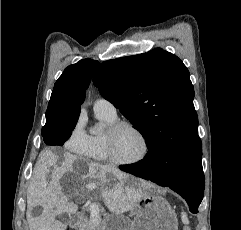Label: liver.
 I'll return each mask as SVG.
<instances>
[{
	"label": "liver",
	"mask_w": 241,
	"mask_h": 230,
	"mask_svg": "<svg viewBox=\"0 0 241 230\" xmlns=\"http://www.w3.org/2000/svg\"><path fill=\"white\" fill-rule=\"evenodd\" d=\"M45 165L33 176L27 190L26 217L30 230H65L66 225L56 221L55 216L61 213H76L77 205L69 202V198L76 196L85 188L92 190L101 186L100 192L106 207L115 214H122L136 207L145 195L143 185L136 181L127 182V175L116 168L97 163H87V172L80 175L75 162L80 160L76 155L64 153L63 160L48 153L43 157ZM48 164L51 169L46 166ZM51 173V181L47 179ZM80 176L81 185L74 193L62 189V179L68 176ZM109 175L115 176L117 181L110 182ZM86 182V185H84ZM41 206L39 216L33 215L35 207Z\"/></svg>",
	"instance_id": "6515ba94"
}]
</instances>
